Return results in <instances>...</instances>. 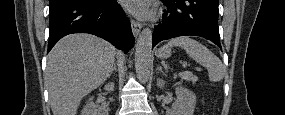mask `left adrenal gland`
Returning <instances> with one entry per match:
<instances>
[{
  "label": "left adrenal gland",
  "instance_id": "a2214340",
  "mask_svg": "<svg viewBox=\"0 0 285 115\" xmlns=\"http://www.w3.org/2000/svg\"><path fill=\"white\" fill-rule=\"evenodd\" d=\"M158 70H160V71H162V66L160 65V66H158V68H157Z\"/></svg>",
  "mask_w": 285,
  "mask_h": 115
}]
</instances>
